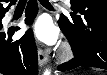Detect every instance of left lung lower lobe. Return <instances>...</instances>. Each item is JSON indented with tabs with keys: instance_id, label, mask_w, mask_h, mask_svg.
Here are the masks:
<instances>
[{
	"instance_id": "obj_1",
	"label": "left lung lower lobe",
	"mask_w": 107,
	"mask_h": 75,
	"mask_svg": "<svg viewBox=\"0 0 107 75\" xmlns=\"http://www.w3.org/2000/svg\"><path fill=\"white\" fill-rule=\"evenodd\" d=\"M85 26L86 29L82 37L91 45L90 55L78 56L74 54V59L58 66L59 71H69L79 66L107 69V20L102 18L93 23H86ZM61 30L73 50V39L62 28Z\"/></svg>"
}]
</instances>
